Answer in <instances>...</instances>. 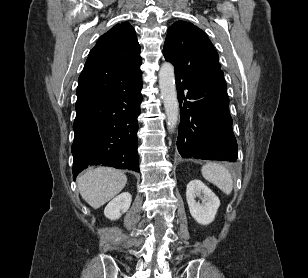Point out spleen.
<instances>
[{"mask_svg": "<svg viewBox=\"0 0 308 278\" xmlns=\"http://www.w3.org/2000/svg\"><path fill=\"white\" fill-rule=\"evenodd\" d=\"M203 177L229 195L233 190V179L229 170L216 162H207L202 166Z\"/></svg>", "mask_w": 308, "mask_h": 278, "instance_id": "obj_1", "label": "spleen"}]
</instances>
